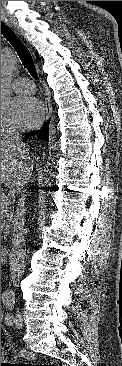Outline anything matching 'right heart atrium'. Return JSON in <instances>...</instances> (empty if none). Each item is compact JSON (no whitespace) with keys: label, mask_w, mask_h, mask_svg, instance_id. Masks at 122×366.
Here are the masks:
<instances>
[{"label":"right heart atrium","mask_w":122,"mask_h":366,"mask_svg":"<svg viewBox=\"0 0 122 366\" xmlns=\"http://www.w3.org/2000/svg\"><path fill=\"white\" fill-rule=\"evenodd\" d=\"M10 129H13V125L10 123V121L1 118V134Z\"/></svg>","instance_id":"1"}]
</instances>
